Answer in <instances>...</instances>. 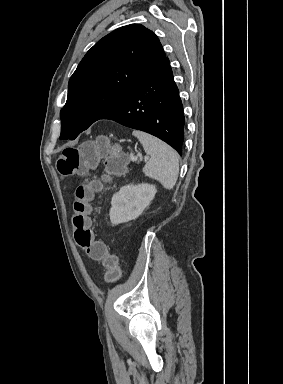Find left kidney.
<instances>
[{
    "label": "left kidney",
    "instance_id": "5707ae66",
    "mask_svg": "<svg viewBox=\"0 0 283 384\" xmlns=\"http://www.w3.org/2000/svg\"><path fill=\"white\" fill-rule=\"evenodd\" d=\"M156 194L155 186L151 184H128L114 194L109 212L111 224H124L141 216L143 210L149 206Z\"/></svg>",
    "mask_w": 283,
    "mask_h": 384
}]
</instances>
